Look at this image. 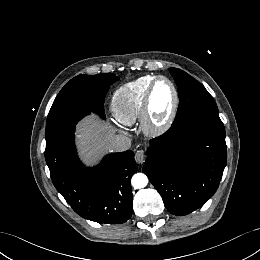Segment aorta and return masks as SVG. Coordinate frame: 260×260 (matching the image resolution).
<instances>
[{"label":"aorta","mask_w":260,"mask_h":260,"mask_svg":"<svg viewBox=\"0 0 260 260\" xmlns=\"http://www.w3.org/2000/svg\"><path fill=\"white\" fill-rule=\"evenodd\" d=\"M131 184L136 189L144 188L148 184V178L143 173H136L131 179Z\"/></svg>","instance_id":"762f6f07"}]
</instances>
